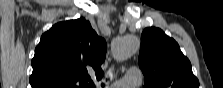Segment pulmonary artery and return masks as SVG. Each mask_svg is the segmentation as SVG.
<instances>
[{
  "label": "pulmonary artery",
  "instance_id": "pulmonary-artery-1",
  "mask_svg": "<svg viewBox=\"0 0 223 88\" xmlns=\"http://www.w3.org/2000/svg\"><path fill=\"white\" fill-rule=\"evenodd\" d=\"M141 82V71L137 68H131L127 71L126 75L122 79L116 81L111 88L137 87Z\"/></svg>",
  "mask_w": 223,
  "mask_h": 88
}]
</instances>
